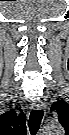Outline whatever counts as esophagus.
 I'll use <instances>...</instances> for the list:
<instances>
[{"label":"esophagus","mask_w":69,"mask_h":135,"mask_svg":"<svg viewBox=\"0 0 69 135\" xmlns=\"http://www.w3.org/2000/svg\"><path fill=\"white\" fill-rule=\"evenodd\" d=\"M32 108L37 110H43L45 108V105L42 101H34L32 103Z\"/></svg>","instance_id":"obj_1"}]
</instances>
